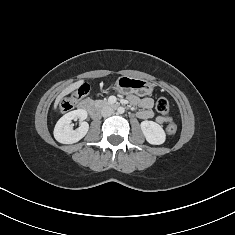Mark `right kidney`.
I'll return each mask as SVG.
<instances>
[{
    "label": "right kidney",
    "mask_w": 235,
    "mask_h": 235,
    "mask_svg": "<svg viewBox=\"0 0 235 235\" xmlns=\"http://www.w3.org/2000/svg\"><path fill=\"white\" fill-rule=\"evenodd\" d=\"M87 116V111L84 109H77L65 114L55 125V139L63 144H73L81 140L89 130V124L84 121ZM77 118L81 122L80 126L74 130L71 122Z\"/></svg>",
    "instance_id": "1"
}]
</instances>
